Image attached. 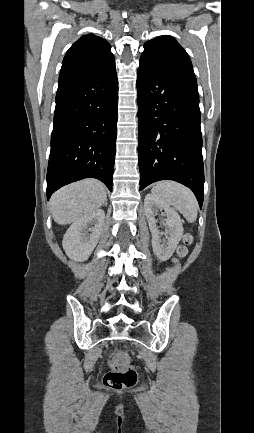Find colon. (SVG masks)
<instances>
[{
    "instance_id": "5ec220e1",
    "label": "colon",
    "mask_w": 254,
    "mask_h": 433,
    "mask_svg": "<svg viewBox=\"0 0 254 433\" xmlns=\"http://www.w3.org/2000/svg\"><path fill=\"white\" fill-rule=\"evenodd\" d=\"M192 242V235L186 234L183 238V243L177 249V254L180 258L187 256ZM137 378L136 370L128 364L126 356L121 354L112 360L111 371L105 374L104 383L113 389H128L135 386Z\"/></svg>"
}]
</instances>
